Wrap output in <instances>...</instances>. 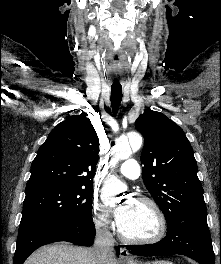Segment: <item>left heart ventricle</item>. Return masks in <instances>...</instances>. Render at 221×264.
I'll return each instance as SVG.
<instances>
[{
	"mask_svg": "<svg viewBox=\"0 0 221 264\" xmlns=\"http://www.w3.org/2000/svg\"><path fill=\"white\" fill-rule=\"evenodd\" d=\"M131 213L120 226L122 231L132 238H149L156 234L158 221L153 210L146 204L135 200L130 202Z\"/></svg>",
	"mask_w": 221,
	"mask_h": 264,
	"instance_id": "left-heart-ventricle-1",
	"label": "left heart ventricle"
}]
</instances>
